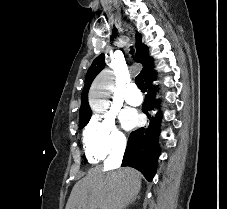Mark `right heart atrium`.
I'll list each match as a JSON object with an SVG mask.
<instances>
[{
    "mask_svg": "<svg viewBox=\"0 0 227 209\" xmlns=\"http://www.w3.org/2000/svg\"><path fill=\"white\" fill-rule=\"evenodd\" d=\"M126 136L112 117H93L83 131V147L89 160L98 162L123 153Z\"/></svg>",
    "mask_w": 227,
    "mask_h": 209,
    "instance_id": "obj_1",
    "label": "right heart atrium"
}]
</instances>
